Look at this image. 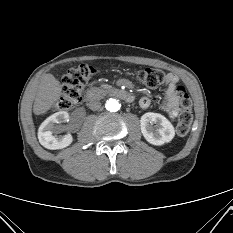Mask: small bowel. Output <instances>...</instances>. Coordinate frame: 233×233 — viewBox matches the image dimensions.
I'll return each instance as SVG.
<instances>
[{"label": "small bowel", "instance_id": "obj_1", "mask_svg": "<svg viewBox=\"0 0 233 233\" xmlns=\"http://www.w3.org/2000/svg\"><path fill=\"white\" fill-rule=\"evenodd\" d=\"M179 78L176 74L168 73L165 76L164 85L166 87L165 96L162 100V107L166 110L169 117L174 119L177 117L180 111V100L176 93L179 87ZM152 103V100L148 97H142L139 104L142 108H148Z\"/></svg>", "mask_w": 233, "mask_h": 233}]
</instances>
